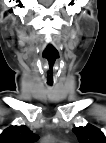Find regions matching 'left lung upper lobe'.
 Masks as SVG:
<instances>
[{
	"label": "left lung upper lobe",
	"mask_w": 106,
	"mask_h": 143,
	"mask_svg": "<svg viewBox=\"0 0 106 143\" xmlns=\"http://www.w3.org/2000/svg\"><path fill=\"white\" fill-rule=\"evenodd\" d=\"M72 131L77 136L80 143H106L103 132L93 125L75 127Z\"/></svg>",
	"instance_id": "obj_1"
}]
</instances>
